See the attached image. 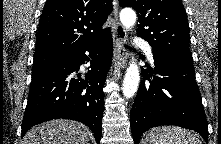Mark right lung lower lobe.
Segmentation results:
<instances>
[{
    "label": "right lung lower lobe",
    "mask_w": 221,
    "mask_h": 144,
    "mask_svg": "<svg viewBox=\"0 0 221 144\" xmlns=\"http://www.w3.org/2000/svg\"><path fill=\"white\" fill-rule=\"evenodd\" d=\"M85 52H89V56ZM112 55L113 43L109 31L33 71L21 137L39 123L64 118L90 127L97 143H100L103 86ZM85 61L90 62L91 69L82 78L78 71Z\"/></svg>",
    "instance_id": "right-lung-lower-lobe-1"
}]
</instances>
